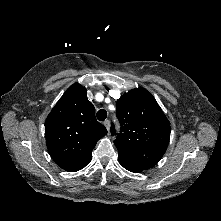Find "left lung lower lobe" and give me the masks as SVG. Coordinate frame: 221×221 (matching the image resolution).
<instances>
[{"mask_svg":"<svg viewBox=\"0 0 221 221\" xmlns=\"http://www.w3.org/2000/svg\"><path fill=\"white\" fill-rule=\"evenodd\" d=\"M119 163L127 170L131 171V172H134V173H139L141 171H143L142 169H140L139 167L127 162V161H124V160H120L119 159Z\"/></svg>","mask_w":221,"mask_h":221,"instance_id":"left-lung-lower-lobe-1","label":"left lung lower lobe"}]
</instances>
